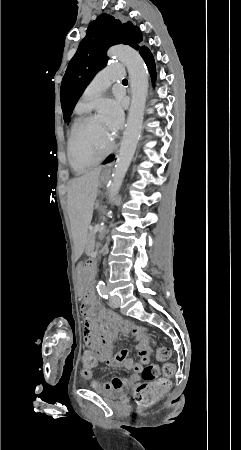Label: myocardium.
Segmentation results:
<instances>
[{
  "label": "myocardium",
  "instance_id": "myocardium-1",
  "mask_svg": "<svg viewBox=\"0 0 241 450\" xmlns=\"http://www.w3.org/2000/svg\"><path fill=\"white\" fill-rule=\"evenodd\" d=\"M77 121L76 122H73V127H72V129H71V136L69 137V142L70 143H72V144H68V149H69V152L67 153V156L68 157H70V162H76L77 161V156H76V154H75V148H74V145L73 144H75V141L76 140H78V136L80 135V130L79 129H77V127H79L80 126V124L85 120V117H80V116H77L76 118H75ZM105 157H108V153L106 154V156ZM99 162H104V160H98Z\"/></svg>",
  "mask_w": 241,
  "mask_h": 450
}]
</instances>
